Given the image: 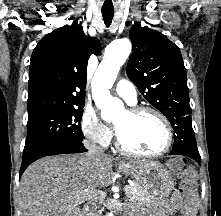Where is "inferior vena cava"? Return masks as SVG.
<instances>
[{
    "label": "inferior vena cava",
    "mask_w": 221,
    "mask_h": 216,
    "mask_svg": "<svg viewBox=\"0 0 221 216\" xmlns=\"http://www.w3.org/2000/svg\"><path fill=\"white\" fill-rule=\"evenodd\" d=\"M85 147L88 149L87 155L90 158H95L103 154V149L93 142H85Z\"/></svg>",
    "instance_id": "1"
}]
</instances>
